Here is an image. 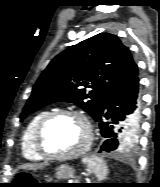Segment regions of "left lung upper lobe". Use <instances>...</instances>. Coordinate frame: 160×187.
I'll return each instance as SVG.
<instances>
[{
	"label": "left lung upper lobe",
	"instance_id": "left-lung-upper-lobe-1",
	"mask_svg": "<svg viewBox=\"0 0 160 187\" xmlns=\"http://www.w3.org/2000/svg\"><path fill=\"white\" fill-rule=\"evenodd\" d=\"M133 65L131 52L116 35L100 33L73 45L40 75L20 120L53 102L75 103L95 118L105 96L124 81ZM138 130L139 123L119 138L135 140Z\"/></svg>",
	"mask_w": 160,
	"mask_h": 187
}]
</instances>
